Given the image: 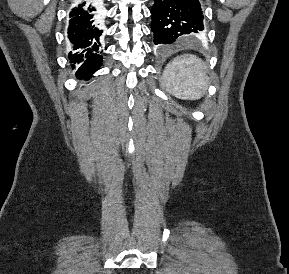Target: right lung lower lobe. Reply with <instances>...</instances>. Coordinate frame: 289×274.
<instances>
[{"label": "right lung lower lobe", "mask_w": 289, "mask_h": 274, "mask_svg": "<svg viewBox=\"0 0 289 274\" xmlns=\"http://www.w3.org/2000/svg\"><path fill=\"white\" fill-rule=\"evenodd\" d=\"M102 15L92 0H74L69 14L68 38L73 44L69 60L74 67L81 63L77 75L94 73L102 63L100 36L103 32Z\"/></svg>", "instance_id": "98d812e1"}]
</instances>
